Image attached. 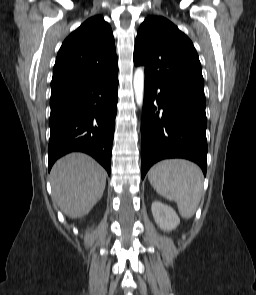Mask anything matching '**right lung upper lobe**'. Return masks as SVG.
Segmentation results:
<instances>
[{
    "mask_svg": "<svg viewBox=\"0 0 256 295\" xmlns=\"http://www.w3.org/2000/svg\"><path fill=\"white\" fill-rule=\"evenodd\" d=\"M111 27L98 15L86 20L63 42L53 69L51 89L118 68Z\"/></svg>",
    "mask_w": 256,
    "mask_h": 295,
    "instance_id": "1",
    "label": "right lung upper lobe"
}]
</instances>
